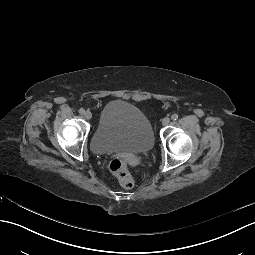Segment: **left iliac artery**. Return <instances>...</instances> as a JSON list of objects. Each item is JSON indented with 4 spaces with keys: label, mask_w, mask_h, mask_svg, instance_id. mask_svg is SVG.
<instances>
[{
    "label": "left iliac artery",
    "mask_w": 255,
    "mask_h": 255,
    "mask_svg": "<svg viewBox=\"0 0 255 255\" xmlns=\"http://www.w3.org/2000/svg\"><path fill=\"white\" fill-rule=\"evenodd\" d=\"M178 114H173L172 116H171V119L173 120V121H175V120H177L178 119Z\"/></svg>",
    "instance_id": "obj_1"
}]
</instances>
